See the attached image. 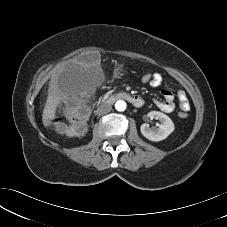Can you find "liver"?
Wrapping results in <instances>:
<instances>
[{
    "instance_id": "liver-1",
    "label": "liver",
    "mask_w": 227,
    "mask_h": 227,
    "mask_svg": "<svg viewBox=\"0 0 227 227\" xmlns=\"http://www.w3.org/2000/svg\"><path fill=\"white\" fill-rule=\"evenodd\" d=\"M92 69L89 65L75 60L58 66L49 81L48 96L42 114L44 127H50L56 117V109L61 101L76 95L83 79L89 77Z\"/></svg>"
}]
</instances>
